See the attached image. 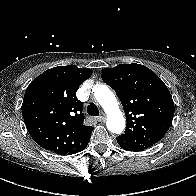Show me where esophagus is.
<instances>
[{
    "mask_svg": "<svg viewBox=\"0 0 196 196\" xmlns=\"http://www.w3.org/2000/svg\"><path fill=\"white\" fill-rule=\"evenodd\" d=\"M105 116H99L98 118H97V121H99V122H104L105 121Z\"/></svg>",
    "mask_w": 196,
    "mask_h": 196,
    "instance_id": "34e87169",
    "label": "esophagus"
}]
</instances>
